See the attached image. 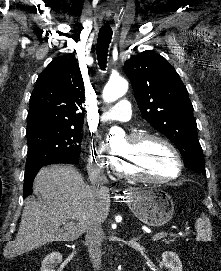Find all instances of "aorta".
Listing matches in <instances>:
<instances>
[{
  "label": "aorta",
  "instance_id": "aorta-1",
  "mask_svg": "<svg viewBox=\"0 0 221 271\" xmlns=\"http://www.w3.org/2000/svg\"><path fill=\"white\" fill-rule=\"evenodd\" d=\"M127 90L128 82L126 79L118 78L110 80L103 90V99L107 103L114 102L118 98L125 95ZM112 131L119 132L120 130L112 128Z\"/></svg>",
  "mask_w": 221,
  "mask_h": 271
}]
</instances>
